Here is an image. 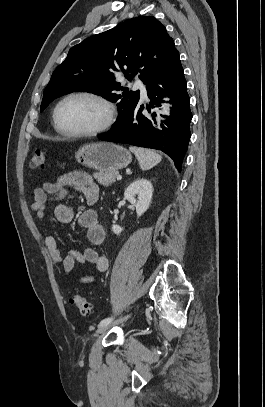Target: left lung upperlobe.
I'll return each instance as SVG.
<instances>
[{
	"label": "left lung upper lobe",
	"mask_w": 265,
	"mask_h": 407,
	"mask_svg": "<svg viewBox=\"0 0 265 407\" xmlns=\"http://www.w3.org/2000/svg\"><path fill=\"white\" fill-rule=\"evenodd\" d=\"M179 63V52L163 24L153 16L127 20L69 50L44 90L40 111L57 97L73 91H89L111 102L119 101V115L113 125L116 127L137 106L139 91L128 92L115 81L113 72H124L129 81L139 72V78L147 86ZM119 90L124 91L122 95L116 93Z\"/></svg>",
	"instance_id": "left-lung-upper-lobe-1"
}]
</instances>
